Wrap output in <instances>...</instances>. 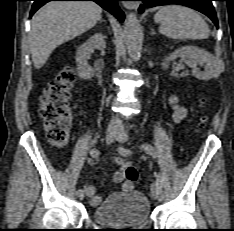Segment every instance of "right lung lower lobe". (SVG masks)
Listing matches in <instances>:
<instances>
[{
	"instance_id": "right-lung-lower-lobe-1",
	"label": "right lung lower lobe",
	"mask_w": 234,
	"mask_h": 231,
	"mask_svg": "<svg viewBox=\"0 0 234 231\" xmlns=\"http://www.w3.org/2000/svg\"><path fill=\"white\" fill-rule=\"evenodd\" d=\"M34 4L31 9L30 17L44 4L49 1H94L101 7L112 13L120 22L124 20V13L118 7L117 1L120 0H33Z\"/></svg>"
}]
</instances>
